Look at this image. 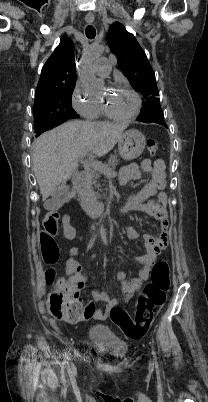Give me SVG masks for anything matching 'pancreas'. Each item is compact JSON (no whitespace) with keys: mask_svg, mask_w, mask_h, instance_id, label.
<instances>
[{"mask_svg":"<svg viewBox=\"0 0 208 402\" xmlns=\"http://www.w3.org/2000/svg\"><path fill=\"white\" fill-rule=\"evenodd\" d=\"M103 168L101 170H86L87 180L84 182L82 188H76L77 194L79 196H88L92 194L95 198H100L102 190H100V184H97V180L101 178L100 174H103L102 170L105 168H110V170H115V166H118L117 156H111L108 160V164H102Z\"/></svg>","mask_w":208,"mask_h":402,"instance_id":"1","label":"pancreas"}]
</instances>
